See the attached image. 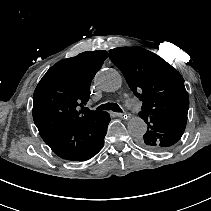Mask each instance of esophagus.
Segmentation results:
<instances>
[{
    "label": "esophagus",
    "mask_w": 211,
    "mask_h": 211,
    "mask_svg": "<svg viewBox=\"0 0 211 211\" xmlns=\"http://www.w3.org/2000/svg\"><path fill=\"white\" fill-rule=\"evenodd\" d=\"M116 116L122 118L124 122H127L129 120V115L125 113H116Z\"/></svg>",
    "instance_id": "esophagus-1"
}]
</instances>
